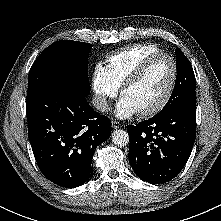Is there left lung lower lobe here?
<instances>
[{
    "instance_id": "obj_1",
    "label": "left lung lower lobe",
    "mask_w": 221,
    "mask_h": 221,
    "mask_svg": "<svg viewBox=\"0 0 221 221\" xmlns=\"http://www.w3.org/2000/svg\"><path fill=\"white\" fill-rule=\"evenodd\" d=\"M129 162L140 179L163 184L185 166L196 136V106L128 125Z\"/></svg>"
}]
</instances>
